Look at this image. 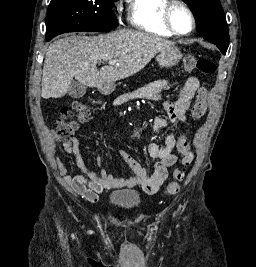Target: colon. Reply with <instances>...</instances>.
<instances>
[{
  "instance_id": "colon-1",
  "label": "colon",
  "mask_w": 256,
  "mask_h": 267,
  "mask_svg": "<svg viewBox=\"0 0 256 267\" xmlns=\"http://www.w3.org/2000/svg\"><path fill=\"white\" fill-rule=\"evenodd\" d=\"M184 69L188 72L198 71L199 73L211 76L216 71V65L211 58L186 56L183 59ZM93 108L91 101H78L74 104L72 109H62L60 117L57 122V136L61 140L72 139L79 122L85 119ZM207 108L206 88L201 87L197 90L195 95L191 116L194 120H200L205 114ZM179 148L182 153V159L173 171V181L170 182L166 188L167 195H173L180 189V184L183 181L185 170L190 166L193 160V152L190 149L187 138L184 134L179 137Z\"/></svg>"
}]
</instances>
